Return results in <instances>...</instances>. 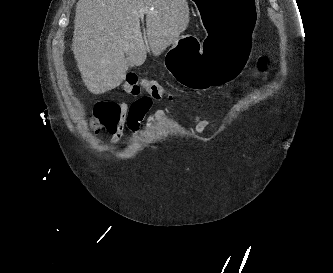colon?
Segmentation results:
<instances>
[{
    "label": "colon",
    "instance_id": "1",
    "mask_svg": "<svg viewBox=\"0 0 333 273\" xmlns=\"http://www.w3.org/2000/svg\"><path fill=\"white\" fill-rule=\"evenodd\" d=\"M258 69L264 71L268 67L265 58H260L257 63ZM123 90L130 95H138L144 90L151 99L159 100L167 98L173 99L172 94L156 80L139 79L135 73H129L123 84ZM120 119L119 105L111 101H100L95 104L93 116L91 118V128L94 131L106 129L112 132L116 129Z\"/></svg>",
    "mask_w": 333,
    "mask_h": 273
}]
</instances>
